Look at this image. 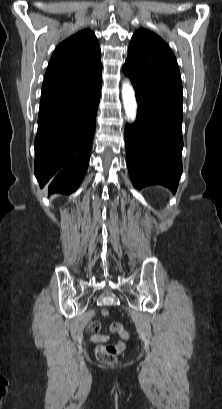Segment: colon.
<instances>
[{
  "label": "colon",
  "mask_w": 222,
  "mask_h": 409,
  "mask_svg": "<svg viewBox=\"0 0 222 409\" xmlns=\"http://www.w3.org/2000/svg\"><path fill=\"white\" fill-rule=\"evenodd\" d=\"M109 312L107 310L102 311V316L107 317ZM110 329L114 333H118L122 339H128L129 333L124 329L120 323H113ZM125 345L122 341L112 344H104L97 347V356L99 360L104 363H114L118 356L123 352Z\"/></svg>",
  "instance_id": "obj_1"
}]
</instances>
